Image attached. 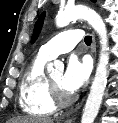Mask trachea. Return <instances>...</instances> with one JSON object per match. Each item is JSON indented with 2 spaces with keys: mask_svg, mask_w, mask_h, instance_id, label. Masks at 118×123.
Masks as SVG:
<instances>
[{
  "mask_svg": "<svg viewBox=\"0 0 118 123\" xmlns=\"http://www.w3.org/2000/svg\"><path fill=\"white\" fill-rule=\"evenodd\" d=\"M84 40H85V43H86L87 45H90L91 42H92V37H91V36H86Z\"/></svg>",
  "mask_w": 118,
  "mask_h": 123,
  "instance_id": "3493384b",
  "label": "trachea"
}]
</instances>
